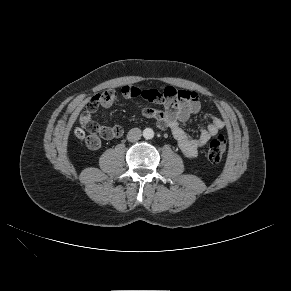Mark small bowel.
<instances>
[{"instance_id": "1", "label": "small bowel", "mask_w": 291, "mask_h": 291, "mask_svg": "<svg viewBox=\"0 0 291 291\" xmlns=\"http://www.w3.org/2000/svg\"><path fill=\"white\" fill-rule=\"evenodd\" d=\"M154 94V99H150V94ZM101 97L99 106L108 108L118 98V93L114 90L98 94ZM121 95L124 98H142L149 102L161 104L162 110L153 108H144L142 115L146 118L154 119L160 129H169L177 144L187 158L197 156L200 148L206 145L211 137L215 136L225 127V121L213 115L205 117L207 124L200 130L197 137H191L182 127V123L188 121L191 116L198 114L201 110V101L197 92L187 89H176L168 86L162 91L155 89H145L135 85H125L121 89ZM117 127L123 130L120 126ZM87 146L95 150L100 146V140L97 139L95 145L86 143Z\"/></svg>"}]
</instances>
